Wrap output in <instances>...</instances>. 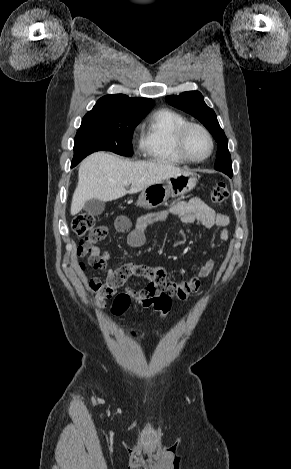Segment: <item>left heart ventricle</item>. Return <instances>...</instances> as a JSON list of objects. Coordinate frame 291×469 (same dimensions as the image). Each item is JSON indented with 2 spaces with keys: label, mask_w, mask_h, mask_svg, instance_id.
Masks as SVG:
<instances>
[{
  "label": "left heart ventricle",
  "mask_w": 291,
  "mask_h": 469,
  "mask_svg": "<svg viewBox=\"0 0 291 469\" xmlns=\"http://www.w3.org/2000/svg\"><path fill=\"white\" fill-rule=\"evenodd\" d=\"M186 148L192 157L201 158L208 153L210 144L207 136L200 129L193 128L187 135Z\"/></svg>",
  "instance_id": "obj_1"
}]
</instances>
